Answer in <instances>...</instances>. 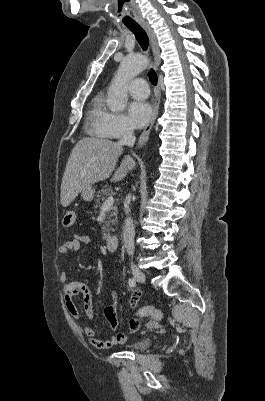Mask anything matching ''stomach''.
I'll return each instance as SVG.
<instances>
[{
  "instance_id": "0dacf381",
  "label": "stomach",
  "mask_w": 265,
  "mask_h": 401,
  "mask_svg": "<svg viewBox=\"0 0 265 401\" xmlns=\"http://www.w3.org/2000/svg\"><path fill=\"white\" fill-rule=\"evenodd\" d=\"M95 188L94 186H87V188H83L81 190V196L83 198V201H92V198L94 196Z\"/></svg>"
}]
</instances>
